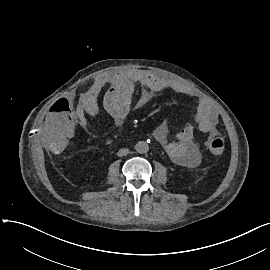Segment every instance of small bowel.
<instances>
[{
  "instance_id": "obj_1",
  "label": "small bowel",
  "mask_w": 270,
  "mask_h": 270,
  "mask_svg": "<svg viewBox=\"0 0 270 270\" xmlns=\"http://www.w3.org/2000/svg\"><path fill=\"white\" fill-rule=\"evenodd\" d=\"M142 87L140 96L134 101L135 86ZM108 86L104 96V107L116 128L124 122L132 108H141L160 91L169 90L198 101L195 124L189 122L174 139L168 137V126L160 124L153 132L156 141L177 164L196 167L201 163V152L194 139L195 130L204 134L217 133V119L208 102L189 87L146 69H126L98 76L80 99L73 93H62L57 102L49 106L41 121L40 139L51 151L70 147L79 138V125L90 131L93 120L99 115L96 99ZM78 124V125H77Z\"/></svg>"
}]
</instances>
